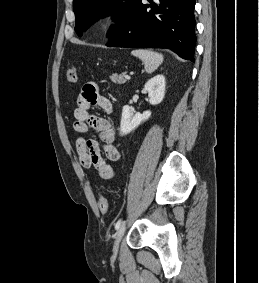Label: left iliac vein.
I'll return each instance as SVG.
<instances>
[{"label":"left iliac vein","mask_w":259,"mask_h":283,"mask_svg":"<svg viewBox=\"0 0 259 283\" xmlns=\"http://www.w3.org/2000/svg\"><path fill=\"white\" fill-rule=\"evenodd\" d=\"M125 232V223H123L117 230L115 234V242H114V252H117L119 243L124 235Z\"/></svg>","instance_id":"1"}]
</instances>
